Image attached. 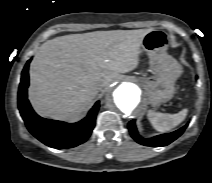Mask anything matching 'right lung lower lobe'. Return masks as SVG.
Listing matches in <instances>:
<instances>
[{"label": "right lung lower lobe", "instance_id": "1", "mask_svg": "<svg viewBox=\"0 0 212 183\" xmlns=\"http://www.w3.org/2000/svg\"><path fill=\"white\" fill-rule=\"evenodd\" d=\"M30 61L28 60L22 71L18 91V107L26 127L33 136L52 148L65 149L82 144L91 135L95 126L99 101L92 107L86 118L73 124L48 120L38 116L27 99V88L29 85L28 67Z\"/></svg>", "mask_w": 212, "mask_h": 183}]
</instances>
